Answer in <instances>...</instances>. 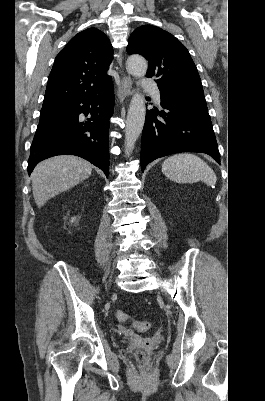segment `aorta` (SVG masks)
I'll list each match as a JSON object with an SVG mask.
<instances>
[{
    "mask_svg": "<svg viewBox=\"0 0 265 401\" xmlns=\"http://www.w3.org/2000/svg\"><path fill=\"white\" fill-rule=\"evenodd\" d=\"M126 68L133 76H145L147 70V62L143 56L139 54H131L126 60ZM145 102L144 96L140 90L134 92L132 100L129 104L125 130V154H131L135 142L140 136L145 122Z\"/></svg>",
    "mask_w": 265,
    "mask_h": 401,
    "instance_id": "obj_1",
    "label": "aorta"
}]
</instances>
